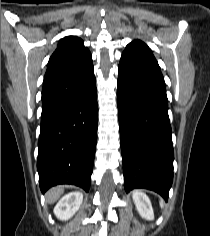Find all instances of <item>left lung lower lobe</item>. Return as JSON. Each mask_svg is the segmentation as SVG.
<instances>
[{
    "label": "left lung lower lobe",
    "instance_id": "1",
    "mask_svg": "<svg viewBox=\"0 0 210 236\" xmlns=\"http://www.w3.org/2000/svg\"><path fill=\"white\" fill-rule=\"evenodd\" d=\"M117 103L125 190L150 189L167 201L174 154L161 71L120 61Z\"/></svg>",
    "mask_w": 210,
    "mask_h": 236
}]
</instances>
